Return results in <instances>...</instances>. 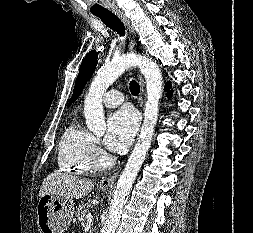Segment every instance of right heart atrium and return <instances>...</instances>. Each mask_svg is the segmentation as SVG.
<instances>
[{
  "mask_svg": "<svg viewBox=\"0 0 253 233\" xmlns=\"http://www.w3.org/2000/svg\"><path fill=\"white\" fill-rule=\"evenodd\" d=\"M94 146H98V140L94 139Z\"/></svg>",
  "mask_w": 253,
  "mask_h": 233,
  "instance_id": "right-heart-atrium-1",
  "label": "right heart atrium"
}]
</instances>
